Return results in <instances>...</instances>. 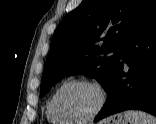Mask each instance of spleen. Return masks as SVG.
<instances>
[{"label":"spleen","instance_id":"3e777b00","mask_svg":"<svg viewBox=\"0 0 156 124\" xmlns=\"http://www.w3.org/2000/svg\"><path fill=\"white\" fill-rule=\"evenodd\" d=\"M123 117L130 124H156V118L141 111L128 110L123 113Z\"/></svg>","mask_w":156,"mask_h":124}]
</instances>
